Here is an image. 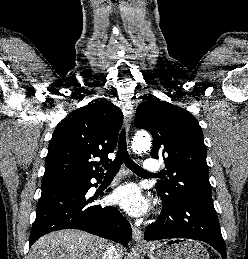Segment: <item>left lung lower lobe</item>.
<instances>
[{"label":"left lung lower lobe","mask_w":248,"mask_h":259,"mask_svg":"<svg viewBox=\"0 0 248 259\" xmlns=\"http://www.w3.org/2000/svg\"><path fill=\"white\" fill-rule=\"evenodd\" d=\"M154 224L147 227V240L188 238L210 244L226 259V248L221 235L213 203L166 202Z\"/></svg>","instance_id":"left-lung-lower-lobe-1"}]
</instances>
